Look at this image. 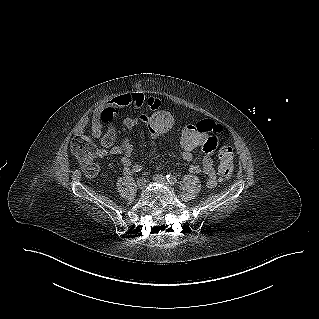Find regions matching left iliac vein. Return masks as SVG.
Returning a JSON list of instances; mask_svg holds the SVG:
<instances>
[{
	"label": "left iliac vein",
	"instance_id": "4c4485c4",
	"mask_svg": "<svg viewBox=\"0 0 319 319\" xmlns=\"http://www.w3.org/2000/svg\"><path fill=\"white\" fill-rule=\"evenodd\" d=\"M153 179H154V181H156L158 183L165 184V185L168 184L165 177L160 175V174L154 175Z\"/></svg>",
	"mask_w": 319,
	"mask_h": 319
}]
</instances>
